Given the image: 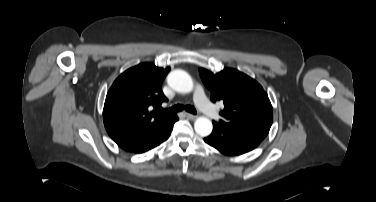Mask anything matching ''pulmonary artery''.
<instances>
[{
    "mask_svg": "<svg viewBox=\"0 0 376 202\" xmlns=\"http://www.w3.org/2000/svg\"><path fill=\"white\" fill-rule=\"evenodd\" d=\"M194 100L199 107V109L204 112L211 119H218L219 113L212 106V104L207 99L204 90L201 85H196L194 90Z\"/></svg>",
    "mask_w": 376,
    "mask_h": 202,
    "instance_id": "e3ab8cb5",
    "label": "pulmonary artery"
}]
</instances>
